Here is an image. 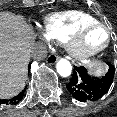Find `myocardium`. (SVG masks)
<instances>
[{
    "instance_id": "1",
    "label": "myocardium",
    "mask_w": 117,
    "mask_h": 117,
    "mask_svg": "<svg viewBox=\"0 0 117 117\" xmlns=\"http://www.w3.org/2000/svg\"><path fill=\"white\" fill-rule=\"evenodd\" d=\"M93 28L104 29L107 34L106 40L103 45L97 48L92 49L83 48L81 46L82 38L88 31H90ZM111 39L112 31L106 24L99 21L92 22L81 27L67 40V49L74 59L84 61L104 51L109 46Z\"/></svg>"
}]
</instances>
